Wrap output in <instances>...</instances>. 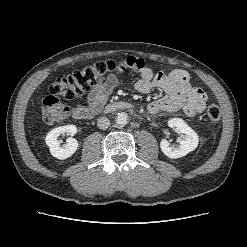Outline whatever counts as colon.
I'll list each match as a JSON object with an SVG mask.
<instances>
[{"instance_id":"1","label":"colon","mask_w":247,"mask_h":247,"mask_svg":"<svg viewBox=\"0 0 247 247\" xmlns=\"http://www.w3.org/2000/svg\"><path fill=\"white\" fill-rule=\"evenodd\" d=\"M130 66L127 59L99 61L70 75L58 78L51 86L50 93L41 100L42 118L47 123H57L70 114L69 107L58 97L73 99L82 96L105 81L106 76L122 71ZM221 111L218 106L210 105L206 111V120L210 126L218 124Z\"/></svg>"}]
</instances>
